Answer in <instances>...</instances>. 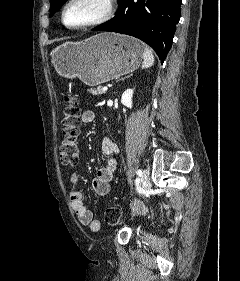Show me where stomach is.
Listing matches in <instances>:
<instances>
[{"label": "stomach", "mask_w": 240, "mask_h": 281, "mask_svg": "<svg viewBox=\"0 0 240 281\" xmlns=\"http://www.w3.org/2000/svg\"><path fill=\"white\" fill-rule=\"evenodd\" d=\"M145 45L132 37L103 33L54 48L51 62L65 78H79L89 86L128 74L142 62Z\"/></svg>", "instance_id": "obj_1"}]
</instances>
